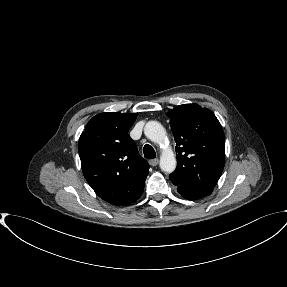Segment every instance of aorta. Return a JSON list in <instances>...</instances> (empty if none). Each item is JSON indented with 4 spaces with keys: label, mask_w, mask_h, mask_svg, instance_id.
Segmentation results:
<instances>
[{
    "label": "aorta",
    "mask_w": 287,
    "mask_h": 287,
    "mask_svg": "<svg viewBox=\"0 0 287 287\" xmlns=\"http://www.w3.org/2000/svg\"><path fill=\"white\" fill-rule=\"evenodd\" d=\"M145 136L151 141L161 144L166 140V131L161 123L149 121L144 127ZM176 158L170 149H165L160 157V168L164 172L172 173L176 168Z\"/></svg>",
    "instance_id": "obj_1"
}]
</instances>
